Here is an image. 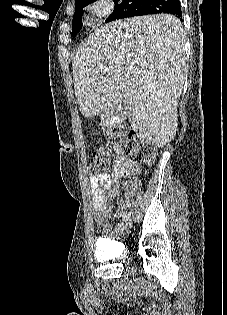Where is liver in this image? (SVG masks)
<instances>
[{
  "mask_svg": "<svg viewBox=\"0 0 227 315\" xmlns=\"http://www.w3.org/2000/svg\"><path fill=\"white\" fill-rule=\"evenodd\" d=\"M184 45L182 23L169 14L117 20L94 31L72 62L81 114L109 113L124 103L138 136L166 145L177 131L188 71Z\"/></svg>",
  "mask_w": 227,
  "mask_h": 315,
  "instance_id": "obj_1",
  "label": "liver"
}]
</instances>
